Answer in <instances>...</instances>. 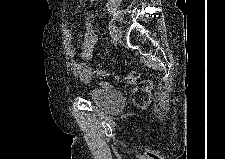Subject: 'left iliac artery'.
I'll list each match as a JSON object with an SVG mask.
<instances>
[{
    "label": "left iliac artery",
    "instance_id": "44dca946",
    "mask_svg": "<svg viewBox=\"0 0 225 159\" xmlns=\"http://www.w3.org/2000/svg\"><path fill=\"white\" fill-rule=\"evenodd\" d=\"M108 29H109L110 34H113L114 29H115L114 24H110L109 27H108Z\"/></svg>",
    "mask_w": 225,
    "mask_h": 159
}]
</instances>
